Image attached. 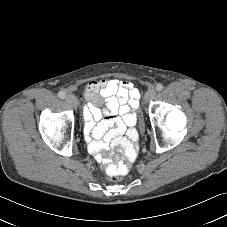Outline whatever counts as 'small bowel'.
<instances>
[{
  "label": "small bowel",
  "instance_id": "small-bowel-1",
  "mask_svg": "<svg viewBox=\"0 0 227 227\" xmlns=\"http://www.w3.org/2000/svg\"><path fill=\"white\" fill-rule=\"evenodd\" d=\"M83 96L87 101L83 109L85 120L84 134L89 151L98 162L105 164L104 151L121 147L129 161L135 158V149L130 139L136 131V114L133 110L139 106L140 91L131 81L101 79L84 85ZM105 99V108L101 109V98ZM112 127H115L113 130ZM125 133L127 136H125ZM137 135V134H136ZM120 162L118 165H123Z\"/></svg>",
  "mask_w": 227,
  "mask_h": 227
}]
</instances>
